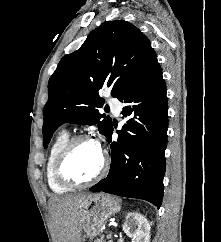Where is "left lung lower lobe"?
Masks as SVG:
<instances>
[{
	"label": "left lung lower lobe",
	"mask_w": 221,
	"mask_h": 242,
	"mask_svg": "<svg viewBox=\"0 0 221 242\" xmlns=\"http://www.w3.org/2000/svg\"><path fill=\"white\" fill-rule=\"evenodd\" d=\"M123 118L130 116L118 140L111 143L108 176L90 188L124 197L144 199L158 208L164 194L168 105L160 65L121 99ZM113 127L106 136L112 141Z\"/></svg>",
	"instance_id": "left-lung-lower-lobe-1"
}]
</instances>
